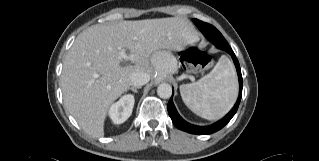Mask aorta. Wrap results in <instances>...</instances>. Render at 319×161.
Masks as SVG:
<instances>
[{
    "label": "aorta",
    "mask_w": 319,
    "mask_h": 161,
    "mask_svg": "<svg viewBox=\"0 0 319 161\" xmlns=\"http://www.w3.org/2000/svg\"><path fill=\"white\" fill-rule=\"evenodd\" d=\"M157 94L163 99L170 98L172 95V87L168 83H162L157 88Z\"/></svg>",
    "instance_id": "obj_1"
}]
</instances>
